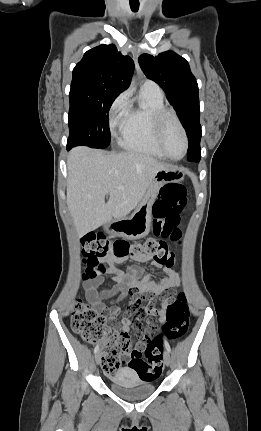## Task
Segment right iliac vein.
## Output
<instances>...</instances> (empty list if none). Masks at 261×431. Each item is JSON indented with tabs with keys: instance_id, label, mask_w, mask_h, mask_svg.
<instances>
[{
	"instance_id": "right-iliac-vein-1",
	"label": "right iliac vein",
	"mask_w": 261,
	"mask_h": 431,
	"mask_svg": "<svg viewBox=\"0 0 261 431\" xmlns=\"http://www.w3.org/2000/svg\"><path fill=\"white\" fill-rule=\"evenodd\" d=\"M95 362H96L97 365L100 364V362H101V353L100 352L96 353V355H95Z\"/></svg>"
}]
</instances>
